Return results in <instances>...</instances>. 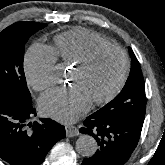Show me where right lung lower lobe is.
Instances as JSON below:
<instances>
[{
	"label": "right lung lower lobe",
	"mask_w": 165,
	"mask_h": 165,
	"mask_svg": "<svg viewBox=\"0 0 165 165\" xmlns=\"http://www.w3.org/2000/svg\"><path fill=\"white\" fill-rule=\"evenodd\" d=\"M35 112L32 102L0 95V158L10 165H40L65 137L64 126L49 118L29 122Z\"/></svg>",
	"instance_id": "right-lung-lower-lobe-1"
}]
</instances>
